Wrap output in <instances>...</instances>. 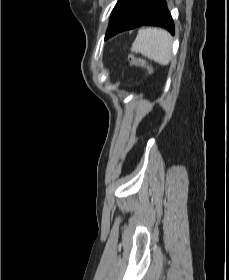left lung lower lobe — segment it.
I'll return each instance as SVG.
<instances>
[{
	"mask_svg": "<svg viewBox=\"0 0 229 280\" xmlns=\"http://www.w3.org/2000/svg\"><path fill=\"white\" fill-rule=\"evenodd\" d=\"M142 25L160 26L174 34V23L165 0H129L118 19L108 28L105 40Z\"/></svg>",
	"mask_w": 229,
	"mask_h": 280,
	"instance_id": "0a47b994",
	"label": "left lung lower lobe"
}]
</instances>
